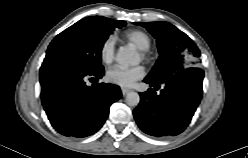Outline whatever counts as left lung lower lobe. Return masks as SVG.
<instances>
[{"label": "left lung lower lobe", "instance_id": "obj_1", "mask_svg": "<svg viewBox=\"0 0 248 158\" xmlns=\"http://www.w3.org/2000/svg\"><path fill=\"white\" fill-rule=\"evenodd\" d=\"M203 70L187 68L159 83L149 78L151 87L164 88L157 94L152 88L140 93V104L134 109V118L146 134L162 137L180 134L190 123L202 98Z\"/></svg>", "mask_w": 248, "mask_h": 158}]
</instances>
